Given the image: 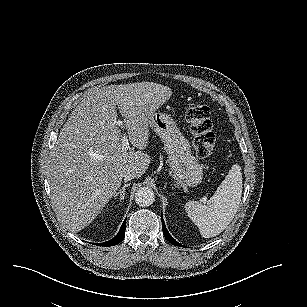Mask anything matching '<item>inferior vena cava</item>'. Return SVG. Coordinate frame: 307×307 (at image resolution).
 Masks as SVG:
<instances>
[{
  "mask_svg": "<svg viewBox=\"0 0 307 307\" xmlns=\"http://www.w3.org/2000/svg\"><path fill=\"white\" fill-rule=\"evenodd\" d=\"M124 181L128 182L130 180H132L133 178H135L134 174L132 172H127L124 176Z\"/></svg>",
  "mask_w": 307,
  "mask_h": 307,
  "instance_id": "602c4592",
  "label": "inferior vena cava"
}]
</instances>
